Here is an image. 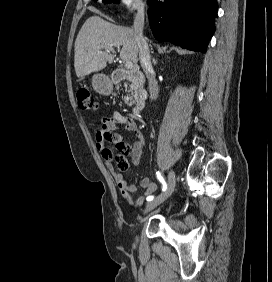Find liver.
<instances>
[{
  "label": "liver",
  "instance_id": "obj_1",
  "mask_svg": "<svg viewBox=\"0 0 272 282\" xmlns=\"http://www.w3.org/2000/svg\"><path fill=\"white\" fill-rule=\"evenodd\" d=\"M120 46V58L137 64L139 47L133 29L115 25L99 16L88 18L75 41L74 67L77 77L104 69L115 57L107 49L114 50Z\"/></svg>",
  "mask_w": 272,
  "mask_h": 282
}]
</instances>
